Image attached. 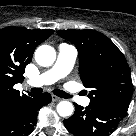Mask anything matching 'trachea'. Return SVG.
I'll return each mask as SVG.
<instances>
[{
	"label": "trachea",
	"instance_id": "1",
	"mask_svg": "<svg viewBox=\"0 0 136 136\" xmlns=\"http://www.w3.org/2000/svg\"><path fill=\"white\" fill-rule=\"evenodd\" d=\"M30 91H31L32 93H34V94H37V93H41V92L43 91V89H41V88H31ZM53 93H54L56 96H59V97H61V98H70V95H69V94H67V93H65L64 91H61V90L55 89V90L53 91Z\"/></svg>",
	"mask_w": 136,
	"mask_h": 136
}]
</instances>
